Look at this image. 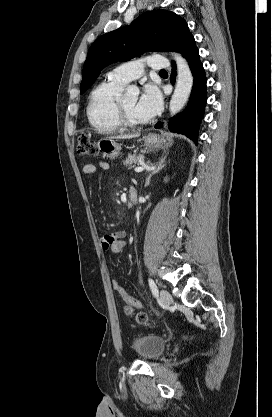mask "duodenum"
<instances>
[{
	"instance_id": "1",
	"label": "duodenum",
	"mask_w": 272,
	"mask_h": 417,
	"mask_svg": "<svg viewBox=\"0 0 272 417\" xmlns=\"http://www.w3.org/2000/svg\"><path fill=\"white\" fill-rule=\"evenodd\" d=\"M138 198V192L136 187L132 186L129 190V195H128V206H133Z\"/></svg>"
}]
</instances>
